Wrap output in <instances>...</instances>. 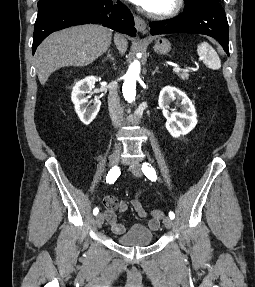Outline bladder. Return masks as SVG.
Masks as SVG:
<instances>
[{"label": "bladder", "mask_w": 255, "mask_h": 287, "mask_svg": "<svg viewBox=\"0 0 255 287\" xmlns=\"http://www.w3.org/2000/svg\"><path fill=\"white\" fill-rule=\"evenodd\" d=\"M154 234L147 226L136 223L124 233L116 236L119 244L124 246H146L153 241Z\"/></svg>", "instance_id": "31cf9c89"}]
</instances>
